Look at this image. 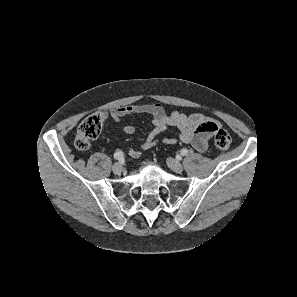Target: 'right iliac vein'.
I'll list each match as a JSON object with an SVG mask.
<instances>
[{
    "label": "right iliac vein",
    "mask_w": 297,
    "mask_h": 297,
    "mask_svg": "<svg viewBox=\"0 0 297 297\" xmlns=\"http://www.w3.org/2000/svg\"><path fill=\"white\" fill-rule=\"evenodd\" d=\"M112 170L115 174H120L123 170V166L121 163L117 162L112 166Z\"/></svg>",
    "instance_id": "63e3f726"
}]
</instances>
